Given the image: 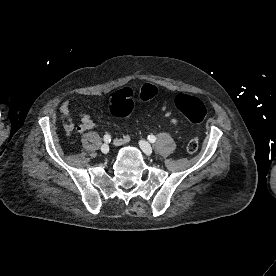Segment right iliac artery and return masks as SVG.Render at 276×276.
<instances>
[{
    "mask_svg": "<svg viewBox=\"0 0 276 276\" xmlns=\"http://www.w3.org/2000/svg\"><path fill=\"white\" fill-rule=\"evenodd\" d=\"M104 141L106 142V143H109L110 141H111V136L110 135H108V134H106V135H104Z\"/></svg>",
    "mask_w": 276,
    "mask_h": 276,
    "instance_id": "obj_1",
    "label": "right iliac artery"
}]
</instances>
